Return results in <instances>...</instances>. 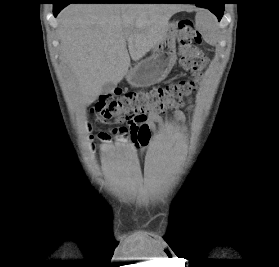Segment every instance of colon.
<instances>
[{"label":"colon","instance_id":"1","mask_svg":"<svg viewBox=\"0 0 279 267\" xmlns=\"http://www.w3.org/2000/svg\"><path fill=\"white\" fill-rule=\"evenodd\" d=\"M179 63L183 69L198 77L206 67L205 52L200 49L202 37L190 19L178 22ZM196 80L180 81L164 87H156L147 91H133L102 95L92 108L96 120L101 123L125 124L118 129L128 135L134 122L143 119L149 113H163L183 105L184 99L195 90ZM117 131V130H115ZM146 131L141 130L139 138L144 140Z\"/></svg>","mask_w":279,"mask_h":267}]
</instances>
